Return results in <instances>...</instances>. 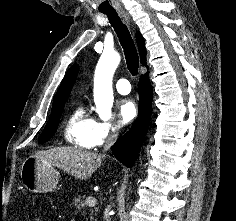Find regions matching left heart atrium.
<instances>
[{
	"label": "left heart atrium",
	"instance_id": "obj_1",
	"mask_svg": "<svg viewBox=\"0 0 236 221\" xmlns=\"http://www.w3.org/2000/svg\"><path fill=\"white\" fill-rule=\"evenodd\" d=\"M136 113V105L131 99L124 98L118 102V115L123 124L131 122Z\"/></svg>",
	"mask_w": 236,
	"mask_h": 221
}]
</instances>
